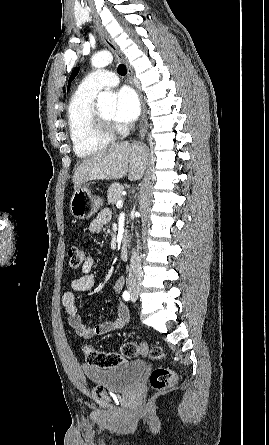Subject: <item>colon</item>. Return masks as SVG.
Segmentation results:
<instances>
[{
  "label": "colon",
  "instance_id": "colon-1",
  "mask_svg": "<svg viewBox=\"0 0 269 445\" xmlns=\"http://www.w3.org/2000/svg\"><path fill=\"white\" fill-rule=\"evenodd\" d=\"M69 266L73 270L80 269L84 262V253L79 247H71L68 250ZM85 360L89 365L99 368H112L123 364L127 359L138 356H149L154 360H162L165 357L164 350L154 346L150 350L145 343L125 342L121 352H104L84 347ZM176 382V374L167 368H156L149 376L150 386L157 391L167 389Z\"/></svg>",
  "mask_w": 269,
  "mask_h": 445
}]
</instances>
